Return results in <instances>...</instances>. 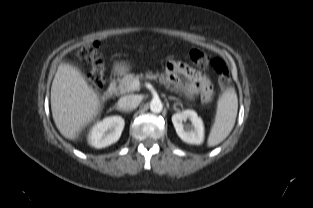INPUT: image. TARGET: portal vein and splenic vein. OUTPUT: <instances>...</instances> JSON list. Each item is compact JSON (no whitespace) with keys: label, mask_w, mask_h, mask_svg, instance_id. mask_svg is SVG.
Instances as JSON below:
<instances>
[{"label":"portal vein and splenic vein","mask_w":313,"mask_h":208,"mask_svg":"<svg viewBox=\"0 0 313 208\" xmlns=\"http://www.w3.org/2000/svg\"><path fill=\"white\" fill-rule=\"evenodd\" d=\"M133 86L138 87L139 86V82L138 81H134L133 82Z\"/></svg>","instance_id":"obj_1"}]
</instances>
